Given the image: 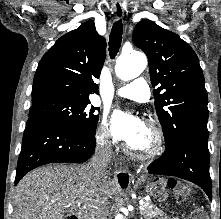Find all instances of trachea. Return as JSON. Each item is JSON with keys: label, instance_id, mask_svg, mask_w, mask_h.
Listing matches in <instances>:
<instances>
[{"label": "trachea", "instance_id": "1", "mask_svg": "<svg viewBox=\"0 0 221 219\" xmlns=\"http://www.w3.org/2000/svg\"><path fill=\"white\" fill-rule=\"evenodd\" d=\"M122 34H123L122 21L118 20L113 24L109 36V54L112 59L115 58V56L119 52V49L121 47Z\"/></svg>", "mask_w": 221, "mask_h": 219}]
</instances>
